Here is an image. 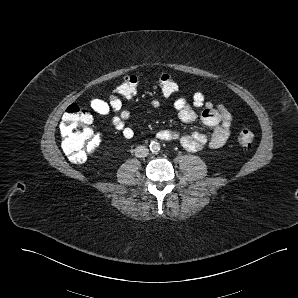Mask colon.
I'll return each mask as SVG.
<instances>
[{
  "label": "colon",
  "mask_w": 298,
  "mask_h": 298,
  "mask_svg": "<svg viewBox=\"0 0 298 298\" xmlns=\"http://www.w3.org/2000/svg\"><path fill=\"white\" fill-rule=\"evenodd\" d=\"M140 83L139 75H129L116 87L114 93L127 99L132 98L136 95ZM158 87L164 96H171L178 90L177 83L168 73L159 75ZM60 132L62 149L75 164L84 163L100 144L99 135L91 128L89 114L76 103L66 108L60 123ZM236 139L239 146L249 148L254 141V133L248 127H241Z\"/></svg>",
  "instance_id": "5ec220e1"
}]
</instances>
